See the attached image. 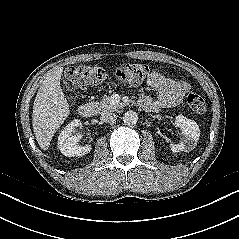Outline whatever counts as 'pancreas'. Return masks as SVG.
<instances>
[{
    "instance_id": "obj_1",
    "label": "pancreas",
    "mask_w": 239,
    "mask_h": 239,
    "mask_svg": "<svg viewBox=\"0 0 239 239\" xmlns=\"http://www.w3.org/2000/svg\"><path fill=\"white\" fill-rule=\"evenodd\" d=\"M98 112H112L123 106L122 103L113 102L111 97H105L100 102L91 103Z\"/></svg>"
}]
</instances>
